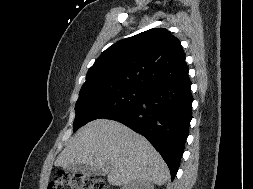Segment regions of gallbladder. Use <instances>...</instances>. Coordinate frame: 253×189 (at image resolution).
<instances>
[{
	"instance_id": "bac80fb5",
	"label": "gallbladder",
	"mask_w": 253,
	"mask_h": 189,
	"mask_svg": "<svg viewBox=\"0 0 253 189\" xmlns=\"http://www.w3.org/2000/svg\"><path fill=\"white\" fill-rule=\"evenodd\" d=\"M67 172H79L84 175H105L100 169L87 164H71L64 167Z\"/></svg>"
}]
</instances>
